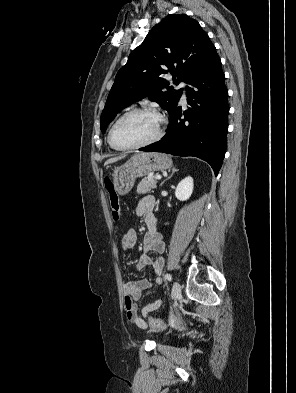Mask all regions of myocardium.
Returning a JSON list of instances; mask_svg holds the SVG:
<instances>
[{
  "mask_svg": "<svg viewBox=\"0 0 296 393\" xmlns=\"http://www.w3.org/2000/svg\"><path fill=\"white\" fill-rule=\"evenodd\" d=\"M136 113H149V114L155 115L158 118L159 125H158V129H157L156 134L151 139H149L145 142L136 144V145H131V146L118 145L114 139V132H115L117 126L125 118H127L130 115L136 114ZM164 129H165V118L158 110H156L154 108H149V107L134 108V109H131V110L125 112L124 114H122L115 121V123L112 125V127L109 131L108 140H109V143L112 146V148H114L116 150H119V151L135 150V149H140V148L149 146V145L154 144L157 141H159L163 137Z\"/></svg>",
  "mask_w": 296,
  "mask_h": 393,
  "instance_id": "myocardium-1",
  "label": "myocardium"
}]
</instances>
